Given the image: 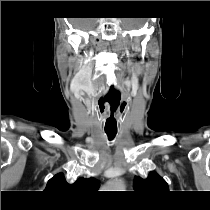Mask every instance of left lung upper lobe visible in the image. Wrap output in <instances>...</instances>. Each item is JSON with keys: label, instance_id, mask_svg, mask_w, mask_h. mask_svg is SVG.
Returning <instances> with one entry per match:
<instances>
[{"label": "left lung upper lobe", "instance_id": "1", "mask_svg": "<svg viewBox=\"0 0 210 210\" xmlns=\"http://www.w3.org/2000/svg\"><path fill=\"white\" fill-rule=\"evenodd\" d=\"M134 189L142 193H158L168 190L166 181L156 172H150L146 179L135 176Z\"/></svg>", "mask_w": 210, "mask_h": 210}]
</instances>
